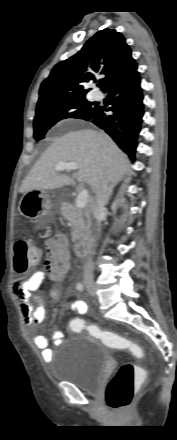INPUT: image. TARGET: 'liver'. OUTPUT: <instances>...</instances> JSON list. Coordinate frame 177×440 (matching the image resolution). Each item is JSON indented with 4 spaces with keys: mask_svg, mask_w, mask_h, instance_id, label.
<instances>
[{
    "mask_svg": "<svg viewBox=\"0 0 177 440\" xmlns=\"http://www.w3.org/2000/svg\"><path fill=\"white\" fill-rule=\"evenodd\" d=\"M59 162H74L79 182L87 183L95 191L98 182L119 180L127 173L130 161L115 142L105 133L92 129L71 131L57 139L32 167L20 187L21 193L32 190H53L70 185L71 177L58 175Z\"/></svg>",
    "mask_w": 177,
    "mask_h": 440,
    "instance_id": "6515ba94",
    "label": "liver"
}]
</instances>
